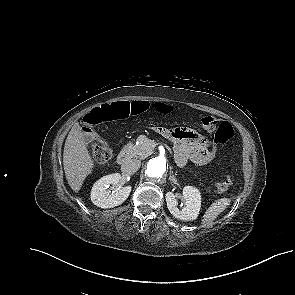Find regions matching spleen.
Here are the masks:
<instances>
[{
    "mask_svg": "<svg viewBox=\"0 0 295 295\" xmlns=\"http://www.w3.org/2000/svg\"><path fill=\"white\" fill-rule=\"evenodd\" d=\"M230 203L231 199L229 198H221L212 203L203 215L202 225H210L217 216L230 205Z\"/></svg>",
    "mask_w": 295,
    "mask_h": 295,
    "instance_id": "3e777b00",
    "label": "spleen"
}]
</instances>
